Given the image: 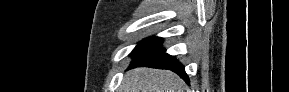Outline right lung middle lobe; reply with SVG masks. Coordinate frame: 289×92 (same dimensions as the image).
<instances>
[{"mask_svg":"<svg viewBox=\"0 0 289 92\" xmlns=\"http://www.w3.org/2000/svg\"><path fill=\"white\" fill-rule=\"evenodd\" d=\"M162 41L163 38L159 37L146 38L138 43L131 56H134V61L154 56L164 50L161 48Z\"/></svg>","mask_w":289,"mask_h":92,"instance_id":"right-lung-middle-lobe-1","label":"right lung middle lobe"}]
</instances>
